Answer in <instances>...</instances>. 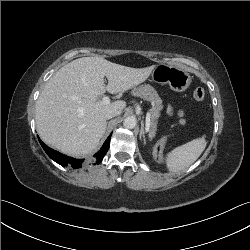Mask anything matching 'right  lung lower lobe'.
Listing matches in <instances>:
<instances>
[{"label":"right lung lower lobe","mask_w":250,"mask_h":250,"mask_svg":"<svg viewBox=\"0 0 250 250\" xmlns=\"http://www.w3.org/2000/svg\"><path fill=\"white\" fill-rule=\"evenodd\" d=\"M110 139H111V135L107 138V140L103 144L102 148L94 155L97 164H99L102 161L103 157L107 153L109 146H110ZM39 142H40L42 148L47 153V155L51 159H53L55 162H57L58 164H60L62 166L70 165L74 169L80 168L82 166L84 159H75L72 157H68L66 155H63V154L49 148L40 139H39Z\"/></svg>","instance_id":"obj_1"}]
</instances>
